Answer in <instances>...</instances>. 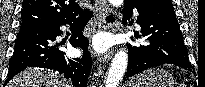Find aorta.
<instances>
[{"instance_id": "1", "label": "aorta", "mask_w": 205, "mask_h": 87, "mask_svg": "<svg viewBox=\"0 0 205 87\" xmlns=\"http://www.w3.org/2000/svg\"><path fill=\"white\" fill-rule=\"evenodd\" d=\"M113 6H120L123 0H109ZM128 63V54L124 50L118 51L111 63L108 76L106 78L105 87H118Z\"/></svg>"}]
</instances>
